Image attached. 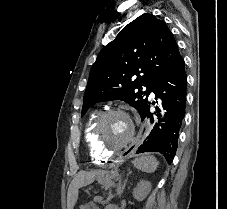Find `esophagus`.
Wrapping results in <instances>:
<instances>
[{"label":"esophagus","mask_w":227,"mask_h":209,"mask_svg":"<svg viewBox=\"0 0 227 209\" xmlns=\"http://www.w3.org/2000/svg\"><path fill=\"white\" fill-rule=\"evenodd\" d=\"M150 120L149 116L145 117V120H141L139 124V138H135L133 144H129V149H124V151H119L117 154L118 162H111L109 165L110 169H115L120 167L121 161H124L126 157H129L130 154H133V149H138V146H141L142 143L146 141V138H149L148 129H150V124H147V121Z\"/></svg>","instance_id":"34e87169"}]
</instances>
